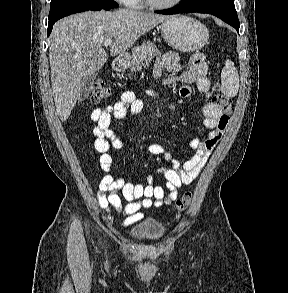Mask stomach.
I'll list each match as a JSON object with an SVG mask.
<instances>
[{
    "label": "stomach",
    "mask_w": 288,
    "mask_h": 293,
    "mask_svg": "<svg viewBox=\"0 0 288 293\" xmlns=\"http://www.w3.org/2000/svg\"><path fill=\"white\" fill-rule=\"evenodd\" d=\"M161 34L172 48L182 52L197 51L208 42L209 32L201 22L184 15L170 16L161 24ZM130 56L125 55L119 69L129 66Z\"/></svg>",
    "instance_id": "1"
}]
</instances>
